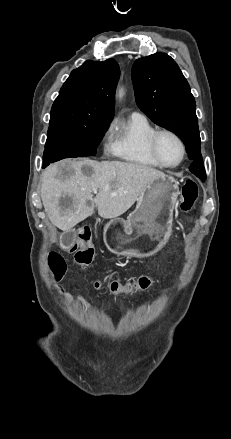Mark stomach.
<instances>
[{
	"label": "stomach",
	"mask_w": 231,
	"mask_h": 439,
	"mask_svg": "<svg viewBox=\"0 0 231 439\" xmlns=\"http://www.w3.org/2000/svg\"><path fill=\"white\" fill-rule=\"evenodd\" d=\"M180 194L174 177L164 175L152 181L137 198L127 221L110 220L104 227L107 248L118 256L146 258L158 252L172 233L173 210Z\"/></svg>",
	"instance_id": "1"
}]
</instances>
